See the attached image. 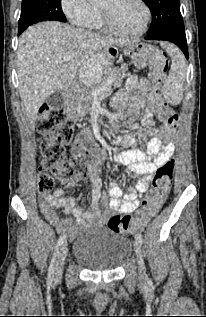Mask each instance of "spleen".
<instances>
[{"label":"spleen","mask_w":206,"mask_h":317,"mask_svg":"<svg viewBox=\"0 0 206 317\" xmlns=\"http://www.w3.org/2000/svg\"><path fill=\"white\" fill-rule=\"evenodd\" d=\"M161 46L171 57L172 64L166 82L163 85V96L171 105H178L182 98L186 79V63L182 52L173 44L162 42Z\"/></svg>","instance_id":"1"}]
</instances>
